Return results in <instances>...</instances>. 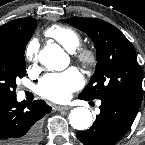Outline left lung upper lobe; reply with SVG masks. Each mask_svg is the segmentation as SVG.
Segmentation results:
<instances>
[{
    "mask_svg": "<svg viewBox=\"0 0 145 145\" xmlns=\"http://www.w3.org/2000/svg\"><path fill=\"white\" fill-rule=\"evenodd\" d=\"M66 22L86 32L97 52L95 72L79 96L88 100H123L140 106L142 70L134 47L124 34L96 18L73 17Z\"/></svg>",
    "mask_w": 145,
    "mask_h": 145,
    "instance_id": "left-lung-upper-lobe-1",
    "label": "left lung upper lobe"
}]
</instances>
